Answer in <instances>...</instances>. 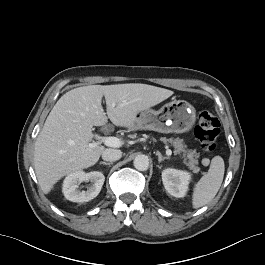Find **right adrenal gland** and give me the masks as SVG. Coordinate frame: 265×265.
Returning a JSON list of instances; mask_svg holds the SVG:
<instances>
[{"instance_id":"obj_1","label":"right adrenal gland","mask_w":265,"mask_h":265,"mask_svg":"<svg viewBox=\"0 0 265 265\" xmlns=\"http://www.w3.org/2000/svg\"><path fill=\"white\" fill-rule=\"evenodd\" d=\"M100 164L109 165L110 166L112 164V162H104V161H101Z\"/></svg>"}]
</instances>
